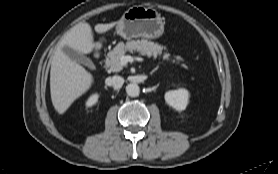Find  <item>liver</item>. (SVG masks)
I'll return each mask as SVG.
<instances>
[{
  "instance_id": "1",
  "label": "liver",
  "mask_w": 278,
  "mask_h": 174,
  "mask_svg": "<svg viewBox=\"0 0 278 174\" xmlns=\"http://www.w3.org/2000/svg\"><path fill=\"white\" fill-rule=\"evenodd\" d=\"M117 23L97 24L95 31L100 34L105 33ZM64 46L81 54H90L95 47L90 24L80 22L72 27L59 41L52 57L50 93L52 104L59 114H64L71 104L91 87L94 81L91 73L62 51Z\"/></svg>"
}]
</instances>
